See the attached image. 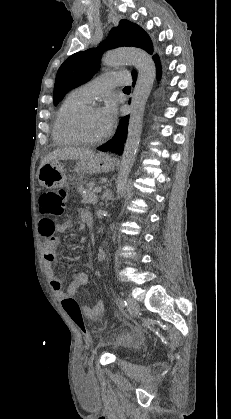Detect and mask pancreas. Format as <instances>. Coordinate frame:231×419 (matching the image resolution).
I'll return each instance as SVG.
<instances>
[{
  "mask_svg": "<svg viewBox=\"0 0 231 419\" xmlns=\"http://www.w3.org/2000/svg\"><path fill=\"white\" fill-rule=\"evenodd\" d=\"M83 204H96L98 202V197L94 192V189L88 188L86 192L82 194Z\"/></svg>",
  "mask_w": 231,
  "mask_h": 419,
  "instance_id": "pancreas-1",
  "label": "pancreas"
}]
</instances>
